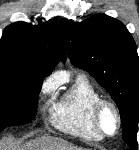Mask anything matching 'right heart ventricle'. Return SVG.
Segmentation results:
<instances>
[{"mask_svg":"<svg viewBox=\"0 0 139 150\" xmlns=\"http://www.w3.org/2000/svg\"><path fill=\"white\" fill-rule=\"evenodd\" d=\"M99 99L101 95L91 82L84 76H78L51 106L50 122L64 133L87 140H101L91 119L92 108Z\"/></svg>","mask_w":139,"mask_h":150,"instance_id":"e07e8e85","label":"right heart ventricle"}]
</instances>
